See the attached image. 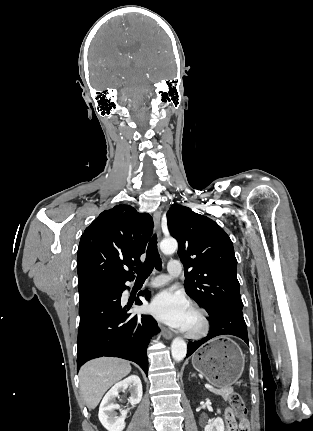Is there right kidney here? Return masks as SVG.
<instances>
[{
    "instance_id": "obj_1",
    "label": "right kidney",
    "mask_w": 313,
    "mask_h": 431,
    "mask_svg": "<svg viewBox=\"0 0 313 431\" xmlns=\"http://www.w3.org/2000/svg\"><path fill=\"white\" fill-rule=\"evenodd\" d=\"M130 391L131 396L128 402L133 406L138 404L143 395L142 383L137 375H131L126 379L116 383L104 396L99 407V420L108 431H122L125 428V418L129 408L122 410L119 404L114 400L118 397L120 391ZM120 411V415L116 412Z\"/></svg>"
}]
</instances>
